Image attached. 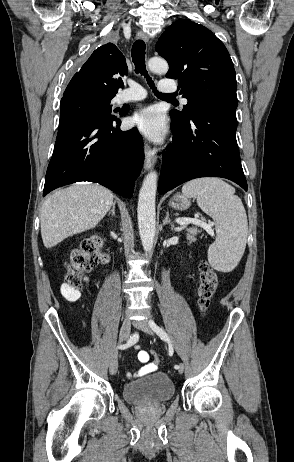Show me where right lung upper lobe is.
Here are the masks:
<instances>
[{"label":"right lung upper lobe","mask_w":294,"mask_h":462,"mask_svg":"<svg viewBox=\"0 0 294 462\" xmlns=\"http://www.w3.org/2000/svg\"><path fill=\"white\" fill-rule=\"evenodd\" d=\"M127 73L125 57L112 44L98 47L69 82L63 98L75 93L115 96L124 87L122 78Z\"/></svg>","instance_id":"1"}]
</instances>
